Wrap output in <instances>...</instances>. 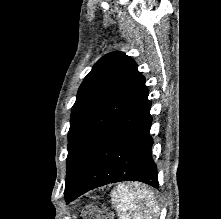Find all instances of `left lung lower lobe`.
I'll return each mask as SVG.
<instances>
[{"instance_id": "0a47b994", "label": "left lung lower lobe", "mask_w": 221, "mask_h": 219, "mask_svg": "<svg viewBox=\"0 0 221 219\" xmlns=\"http://www.w3.org/2000/svg\"><path fill=\"white\" fill-rule=\"evenodd\" d=\"M147 97L145 88L110 126L66 198L67 203L91 189L127 180L158 188L157 167L151 154L153 140L149 134L151 103Z\"/></svg>"}]
</instances>
